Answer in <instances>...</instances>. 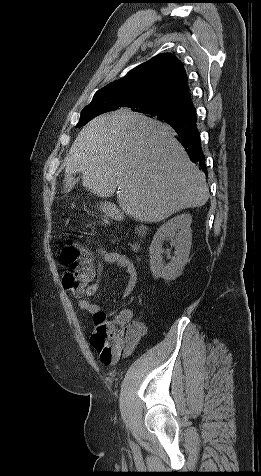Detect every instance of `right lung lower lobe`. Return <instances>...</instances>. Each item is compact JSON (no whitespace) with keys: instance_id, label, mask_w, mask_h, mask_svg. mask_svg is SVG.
<instances>
[{"instance_id":"1","label":"right lung lower lobe","mask_w":261,"mask_h":476,"mask_svg":"<svg viewBox=\"0 0 261 476\" xmlns=\"http://www.w3.org/2000/svg\"><path fill=\"white\" fill-rule=\"evenodd\" d=\"M196 111L192 109L186 111L184 116L177 121L168 123L177 133L178 138L188 153L190 159L198 164L207 174L205 166V156L201 149L199 133L196 127Z\"/></svg>"}]
</instances>
